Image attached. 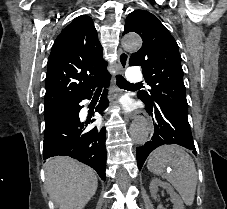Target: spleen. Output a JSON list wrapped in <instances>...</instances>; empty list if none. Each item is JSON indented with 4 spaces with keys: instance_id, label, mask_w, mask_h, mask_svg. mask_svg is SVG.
<instances>
[{
    "instance_id": "spleen-1",
    "label": "spleen",
    "mask_w": 227,
    "mask_h": 209,
    "mask_svg": "<svg viewBox=\"0 0 227 209\" xmlns=\"http://www.w3.org/2000/svg\"><path fill=\"white\" fill-rule=\"evenodd\" d=\"M148 171L154 175H164L172 187L179 193L183 203L191 207L197 187V171L194 161L185 149L178 145H163L152 153ZM173 169L166 173V169Z\"/></svg>"
}]
</instances>
